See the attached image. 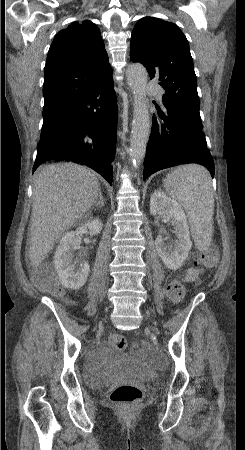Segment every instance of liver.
I'll return each mask as SVG.
<instances>
[{"label": "liver", "instance_id": "obj_1", "mask_svg": "<svg viewBox=\"0 0 245 450\" xmlns=\"http://www.w3.org/2000/svg\"><path fill=\"white\" fill-rule=\"evenodd\" d=\"M100 184L87 168L74 163L51 164L35 174L29 259L34 267L55 242L91 210Z\"/></svg>", "mask_w": 245, "mask_h": 450}]
</instances>
